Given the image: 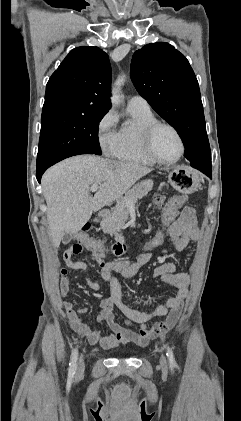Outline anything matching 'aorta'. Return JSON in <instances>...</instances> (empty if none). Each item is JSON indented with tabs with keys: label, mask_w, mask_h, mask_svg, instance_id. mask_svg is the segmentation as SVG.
<instances>
[{
	"label": "aorta",
	"mask_w": 241,
	"mask_h": 421,
	"mask_svg": "<svg viewBox=\"0 0 241 421\" xmlns=\"http://www.w3.org/2000/svg\"><path fill=\"white\" fill-rule=\"evenodd\" d=\"M125 81V77L124 76H120L116 82H115V86L112 90V97H111V101L113 104H119L120 103V95H119V91H120V87L121 85L124 83Z\"/></svg>",
	"instance_id": "762f6f07"
}]
</instances>
